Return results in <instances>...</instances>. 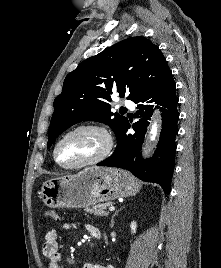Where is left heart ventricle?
<instances>
[{"mask_svg": "<svg viewBox=\"0 0 221 268\" xmlns=\"http://www.w3.org/2000/svg\"><path fill=\"white\" fill-rule=\"evenodd\" d=\"M104 137L94 130H81L68 136L58 149L60 162L75 165L98 155L104 148Z\"/></svg>", "mask_w": 221, "mask_h": 268, "instance_id": "obj_1", "label": "left heart ventricle"}]
</instances>
